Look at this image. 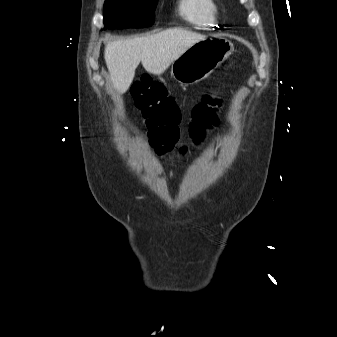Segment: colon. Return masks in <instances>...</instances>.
Segmentation results:
<instances>
[{
    "mask_svg": "<svg viewBox=\"0 0 337 337\" xmlns=\"http://www.w3.org/2000/svg\"><path fill=\"white\" fill-rule=\"evenodd\" d=\"M131 95L142 111L149 129V141L158 155L184 154L187 145L179 144V123L181 114L176 100L165 87L144 74L131 86ZM220 101L204 92L192 112L189 135L193 144L203 142L207 132L217 126L216 110Z\"/></svg>",
    "mask_w": 337,
    "mask_h": 337,
    "instance_id": "colon-1",
    "label": "colon"
}]
</instances>
